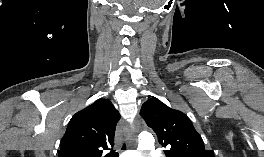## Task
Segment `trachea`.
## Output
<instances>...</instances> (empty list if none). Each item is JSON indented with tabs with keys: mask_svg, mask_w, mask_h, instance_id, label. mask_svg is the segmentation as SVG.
<instances>
[{
	"mask_svg": "<svg viewBox=\"0 0 264 157\" xmlns=\"http://www.w3.org/2000/svg\"><path fill=\"white\" fill-rule=\"evenodd\" d=\"M123 150H125L126 149V145L124 144V146H123V148H122ZM113 157H118V154L117 153H114L113 154Z\"/></svg>",
	"mask_w": 264,
	"mask_h": 157,
	"instance_id": "obj_1",
	"label": "trachea"
}]
</instances>
